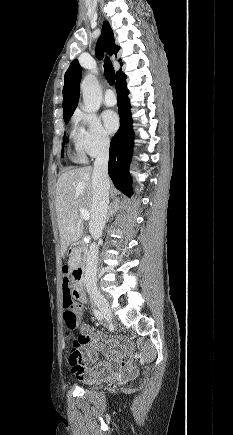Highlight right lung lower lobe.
Segmentation results:
<instances>
[{
	"mask_svg": "<svg viewBox=\"0 0 233 435\" xmlns=\"http://www.w3.org/2000/svg\"><path fill=\"white\" fill-rule=\"evenodd\" d=\"M125 79L126 75L116 78L117 103L121 124L110 144L108 173L115 187L130 197L132 181L129 174V164L133 152L134 132L130 113L131 105L128 99L129 91Z\"/></svg>",
	"mask_w": 233,
	"mask_h": 435,
	"instance_id": "98d812e1",
	"label": "right lung lower lobe"
}]
</instances>
